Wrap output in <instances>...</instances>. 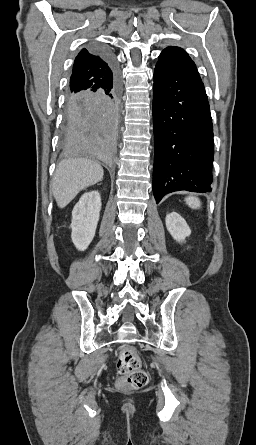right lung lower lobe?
<instances>
[{
    "mask_svg": "<svg viewBox=\"0 0 256 445\" xmlns=\"http://www.w3.org/2000/svg\"><path fill=\"white\" fill-rule=\"evenodd\" d=\"M111 71L101 89L68 96L65 147L74 156L113 163L116 152L120 109V81L112 53L98 47Z\"/></svg>",
    "mask_w": 256,
    "mask_h": 445,
    "instance_id": "1",
    "label": "right lung lower lobe"
}]
</instances>
